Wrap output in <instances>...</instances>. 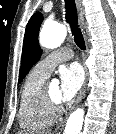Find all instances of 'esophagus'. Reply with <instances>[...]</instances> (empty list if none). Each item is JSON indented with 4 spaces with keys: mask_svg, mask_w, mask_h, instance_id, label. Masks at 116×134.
Masks as SVG:
<instances>
[{
    "mask_svg": "<svg viewBox=\"0 0 116 134\" xmlns=\"http://www.w3.org/2000/svg\"><path fill=\"white\" fill-rule=\"evenodd\" d=\"M76 4H77L78 9H80V8H81V2H80V0H76ZM87 51H88V48H87ZM85 72H86V78H85L84 84H83V86H82V89H81V91H80V93H79V96H78V98H77V100H76V103H75V105H74L73 108H75V107L79 104V102L82 100L83 96L85 95L86 83H87V77H88V70H87L86 67H85ZM65 122H66V120H63V121L59 124V126H58L57 129H56V132H57V133H60V132L63 130L64 125H65Z\"/></svg>",
    "mask_w": 116,
    "mask_h": 134,
    "instance_id": "1",
    "label": "esophagus"
}]
</instances>
